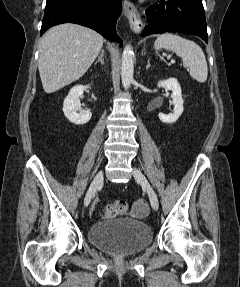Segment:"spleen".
<instances>
[{
  "label": "spleen",
  "instance_id": "obj_1",
  "mask_svg": "<svg viewBox=\"0 0 240 287\" xmlns=\"http://www.w3.org/2000/svg\"><path fill=\"white\" fill-rule=\"evenodd\" d=\"M155 48L170 50L183 61L193 79L203 83L208 76V67L203 50L194 41L174 33H163L155 41Z\"/></svg>",
  "mask_w": 240,
  "mask_h": 287
}]
</instances>
